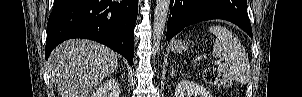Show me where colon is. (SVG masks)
<instances>
[{"mask_svg": "<svg viewBox=\"0 0 302 97\" xmlns=\"http://www.w3.org/2000/svg\"><path fill=\"white\" fill-rule=\"evenodd\" d=\"M204 80L213 85L228 84V81H226L215 69L212 68L204 72Z\"/></svg>", "mask_w": 302, "mask_h": 97, "instance_id": "colon-1", "label": "colon"}]
</instances>
